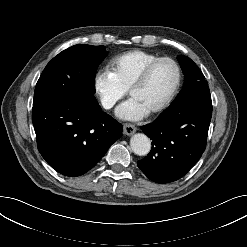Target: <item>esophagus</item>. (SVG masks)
<instances>
[{
    "label": "esophagus",
    "instance_id": "obj_1",
    "mask_svg": "<svg viewBox=\"0 0 247 247\" xmlns=\"http://www.w3.org/2000/svg\"><path fill=\"white\" fill-rule=\"evenodd\" d=\"M123 129H124V133L128 136H130L136 132V127L130 123H125L123 125Z\"/></svg>",
    "mask_w": 247,
    "mask_h": 247
}]
</instances>
